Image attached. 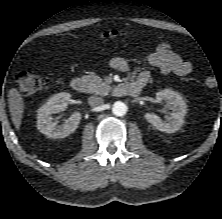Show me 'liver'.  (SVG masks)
<instances>
[{
    "label": "liver",
    "mask_w": 222,
    "mask_h": 219,
    "mask_svg": "<svg viewBox=\"0 0 222 219\" xmlns=\"http://www.w3.org/2000/svg\"><path fill=\"white\" fill-rule=\"evenodd\" d=\"M8 104L12 122L15 128L19 130L24 112V101L21 94L16 88H11L9 90Z\"/></svg>",
    "instance_id": "6515ba94"
}]
</instances>
